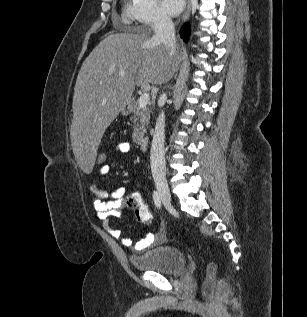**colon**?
Here are the masks:
<instances>
[{"label": "colon", "mask_w": 307, "mask_h": 317, "mask_svg": "<svg viewBox=\"0 0 307 317\" xmlns=\"http://www.w3.org/2000/svg\"><path fill=\"white\" fill-rule=\"evenodd\" d=\"M106 161V152L99 150L96 155V164L102 167L106 165ZM124 205L133 210L138 222L147 225L152 223V214L140 193L134 192L126 196V198L124 199ZM214 272L215 266L214 264H210L207 269V279L205 282L206 286L208 285L209 280L213 277Z\"/></svg>", "instance_id": "obj_1"}]
</instances>
